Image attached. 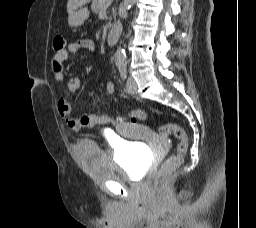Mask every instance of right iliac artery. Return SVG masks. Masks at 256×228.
Instances as JSON below:
<instances>
[{
	"instance_id": "right-iliac-artery-1",
	"label": "right iliac artery",
	"mask_w": 256,
	"mask_h": 228,
	"mask_svg": "<svg viewBox=\"0 0 256 228\" xmlns=\"http://www.w3.org/2000/svg\"><path fill=\"white\" fill-rule=\"evenodd\" d=\"M119 72L122 80H125L127 77V69L125 65H120L119 66Z\"/></svg>"
}]
</instances>
